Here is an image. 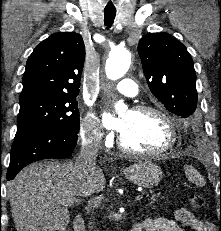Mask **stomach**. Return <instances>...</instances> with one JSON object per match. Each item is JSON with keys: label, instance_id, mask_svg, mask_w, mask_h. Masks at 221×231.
Segmentation results:
<instances>
[{"label": "stomach", "instance_id": "1", "mask_svg": "<svg viewBox=\"0 0 221 231\" xmlns=\"http://www.w3.org/2000/svg\"><path fill=\"white\" fill-rule=\"evenodd\" d=\"M125 177L132 183L144 187L153 188L163 178L161 168L150 160H140L123 169Z\"/></svg>", "mask_w": 221, "mask_h": 231}]
</instances>
